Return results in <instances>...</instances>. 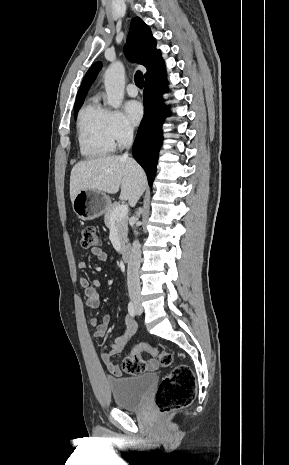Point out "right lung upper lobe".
I'll use <instances>...</instances> for the list:
<instances>
[{
  "label": "right lung upper lobe",
  "mask_w": 289,
  "mask_h": 465,
  "mask_svg": "<svg viewBox=\"0 0 289 465\" xmlns=\"http://www.w3.org/2000/svg\"><path fill=\"white\" fill-rule=\"evenodd\" d=\"M125 55L129 60L137 61L147 68L145 82L166 75L160 51L156 49V40L152 36L150 28L139 17L132 20L125 45ZM100 67L101 63L97 62L87 71L78 90L76 102L84 101L85 95L94 82Z\"/></svg>",
  "instance_id": "obj_1"
}]
</instances>
